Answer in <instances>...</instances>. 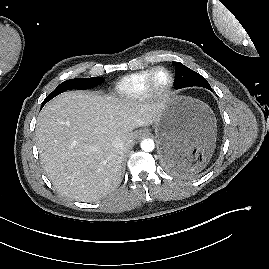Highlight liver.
Listing matches in <instances>:
<instances>
[{"mask_svg":"<svg viewBox=\"0 0 269 269\" xmlns=\"http://www.w3.org/2000/svg\"><path fill=\"white\" fill-rule=\"evenodd\" d=\"M161 103L114 95L69 91L39 113L36 146L55 188L78 201H97L121 181L124 154L134 145L133 130L155 123ZM120 138L124 148L112 146Z\"/></svg>","mask_w":269,"mask_h":269,"instance_id":"liver-1","label":"liver"}]
</instances>
